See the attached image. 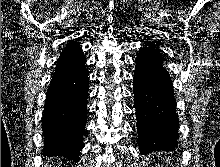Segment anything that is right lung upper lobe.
<instances>
[{
  "label": "right lung upper lobe",
  "mask_w": 220,
  "mask_h": 167,
  "mask_svg": "<svg viewBox=\"0 0 220 167\" xmlns=\"http://www.w3.org/2000/svg\"><path fill=\"white\" fill-rule=\"evenodd\" d=\"M85 61L83 52L80 46L74 41H71L62 51L56 66V70L76 67Z\"/></svg>",
  "instance_id": "1"
}]
</instances>
